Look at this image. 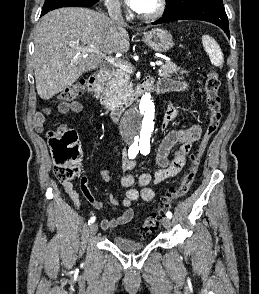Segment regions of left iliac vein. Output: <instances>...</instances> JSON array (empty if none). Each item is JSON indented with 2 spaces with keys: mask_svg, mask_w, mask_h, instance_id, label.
<instances>
[{
  "mask_svg": "<svg viewBox=\"0 0 259 294\" xmlns=\"http://www.w3.org/2000/svg\"><path fill=\"white\" fill-rule=\"evenodd\" d=\"M162 224L166 229H170L171 228V220L168 217H164L162 219Z\"/></svg>",
  "mask_w": 259,
  "mask_h": 294,
  "instance_id": "4c4485c4",
  "label": "left iliac vein"
}]
</instances>
